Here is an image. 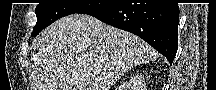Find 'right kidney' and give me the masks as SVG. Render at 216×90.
I'll use <instances>...</instances> for the list:
<instances>
[{"instance_id":"obj_1","label":"right kidney","mask_w":216,"mask_h":90,"mask_svg":"<svg viewBox=\"0 0 216 90\" xmlns=\"http://www.w3.org/2000/svg\"><path fill=\"white\" fill-rule=\"evenodd\" d=\"M138 86H139V84H138ZM126 88H127V90H130V88H131L130 84H126Z\"/></svg>"}]
</instances>
